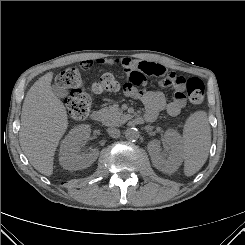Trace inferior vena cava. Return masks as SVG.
Here are the masks:
<instances>
[{"mask_svg":"<svg viewBox=\"0 0 245 245\" xmlns=\"http://www.w3.org/2000/svg\"><path fill=\"white\" fill-rule=\"evenodd\" d=\"M107 132L110 135V137H112V138L120 137V133H121L120 130L117 128H109V129H107Z\"/></svg>","mask_w":245,"mask_h":245,"instance_id":"1","label":"inferior vena cava"}]
</instances>
